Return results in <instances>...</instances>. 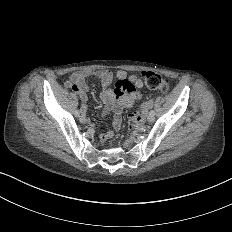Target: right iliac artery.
<instances>
[{"instance_id":"right-iliac-artery-1","label":"right iliac artery","mask_w":232,"mask_h":232,"mask_svg":"<svg viewBox=\"0 0 232 232\" xmlns=\"http://www.w3.org/2000/svg\"><path fill=\"white\" fill-rule=\"evenodd\" d=\"M74 115H75L76 117H79L80 112H79L78 110H76L75 113H74Z\"/></svg>"}]
</instances>
